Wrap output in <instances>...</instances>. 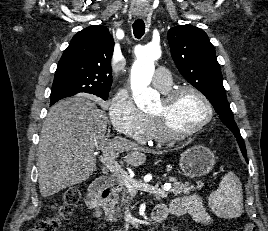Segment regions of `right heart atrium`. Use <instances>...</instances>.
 <instances>
[{"label": "right heart atrium", "instance_id": "obj_1", "mask_svg": "<svg viewBox=\"0 0 268 231\" xmlns=\"http://www.w3.org/2000/svg\"><path fill=\"white\" fill-rule=\"evenodd\" d=\"M108 114L113 129L118 133L139 143L149 141L148 118L126 89L118 90L110 99Z\"/></svg>", "mask_w": 268, "mask_h": 231}]
</instances>
